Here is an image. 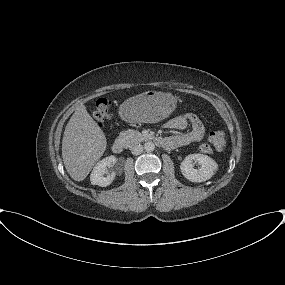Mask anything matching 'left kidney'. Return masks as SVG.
<instances>
[{"mask_svg":"<svg viewBox=\"0 0 285 285\" xmlns=\"http://www.w3.org/2000/svg\"><path fill=\"white\" fill-rule=\"evenodd\" d=\"M193 161H197L201 165L200 168H193ZM180 169L189 181L204 182L215 174L218 164L207 155L190 154L181 162Z\"/></svg>","mask_w":285,"mask_h":285,"instance_id":"5707ae66","label":"left kidney"}]
</instances>
